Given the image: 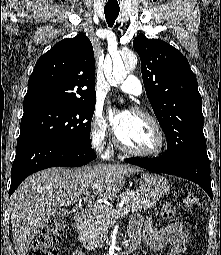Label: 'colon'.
<instances>
[{
	"label": "colon",
	"mask_w": 221,
	"mask_h": 255,
	"mask_svg": "<svg viewBox=\"0 0 221 255\" xmlns=\"http://www.w3.org/2000/svg\"><path fill=\"white\" fill-rule=\"evenodd\" d=\"M184 203L186 207L193 208L200 203L195 194L188 195ZM67 224L64 218H56L50 221L39 237L33 243L28 255H57V244L62 239Z\"/></svg>",
	"instance_id": "5ec220e1"
}]
</instances>
